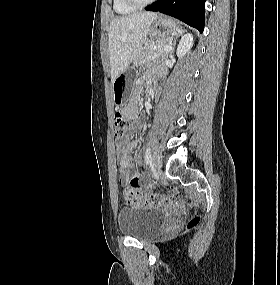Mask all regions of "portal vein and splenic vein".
I'll return each instance as SVG.
<instances>
[{
  "mask_svg": "<svg viewBox=\"0 0 280 285\" xmlns=\"http://www.w3.org/2000/svg\"><path fill=\"white\" fill-rule=\"evenodd\" d=\"M171 49H172L171 46L168 45V46H165L163 50L166 52H169ZM152 57L153 56H149V58H152Z\"/></svg>",
  "mask_w": 280,
  "mask_h": 285,
  "instance_id": "portal-vein-and-splenic-vein-1",
  "label": "portal vein and splenic vein"
}]
</instances>
